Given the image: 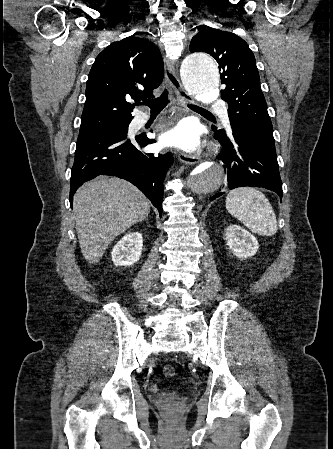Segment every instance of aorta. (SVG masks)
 <instances>
[{
  "label": "aorta",
  "mask_w": 333,
  "mask_h": 449,
  "mask_svg": "<svg viewBox=\"0 0 333 449\" xmlns=\"http://www.w3.org/2000/svg\"><path fill=\"white\" fill-rule=\"evenodd\" d=\"M184 88L191 95L214 100L218 97L219 71L214 59L203 52L192 53L180 68ZM225 181L224 166L217 161L204 162L187 175L186 190L191 194H210L218 191Z\"/></svg>",
  "instance_id": "1"
}]
</instances>
